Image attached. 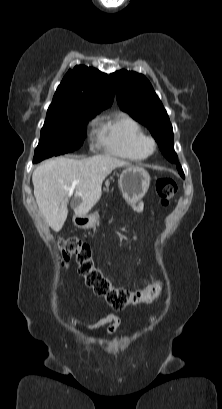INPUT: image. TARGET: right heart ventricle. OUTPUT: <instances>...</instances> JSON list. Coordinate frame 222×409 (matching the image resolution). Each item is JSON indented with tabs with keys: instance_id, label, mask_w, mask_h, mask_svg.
<instances>
[{
	"instance_id": "right-heart-ventricle-1",
	"label": "right heart ventricle",
	"mask_w": 222,
	"mask_h": 409,
	"mask_svg": "<svg viewBox=\"0 0 222 409\" xmlns=\"http://www.w3.org/2000/svg\"><path fill=\"white\" fill-rule=\"evenodd\" d=\"M144 130L140 123L124 112H117L102 120L99 142L109 154L131 161L144 160Z\"/></svg>"
}]
</instances>
